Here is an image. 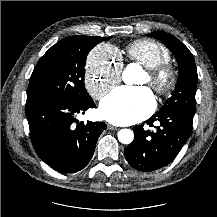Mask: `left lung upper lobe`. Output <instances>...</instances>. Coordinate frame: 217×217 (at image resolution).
<instances>
[{
    "instance_id": "1",
    "label": "left lung upper lobe",
    "mask_w": 217,
    "mask_h": 217,
    "mask_svg": "<svg viewBox=\"0 0 217 217\" xmlns=\"http://www.w3.org/2000/svg\"><path fill=\"white\" fill-rule=\"evenodd\" d=\"M148 36L162 41L174 54L179 67V79L172 96L157 113L181 109L195 113V94L198 81L194 57L190 50L173 35L166 32H152Z\"/></svg>"
}]
</instances>
